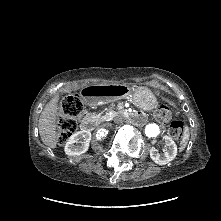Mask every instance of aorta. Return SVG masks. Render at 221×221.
<instances>
[{
    "label": "aorta",
    "instance_id": "aorta-1",
    "mask_svg": "<svg viewBox=\"0 0 221 221\" xmlns=\"http://www.w3.org/2000/svg\"><path fill=\"white\" fill-rule=\"evenodd\" d=\"M159 132V127L156 124H149L145 128V133L148 137H156Z\"/></svg>",
    "mask_w": 221,
    "mask_h": 221
}]
</instances>
